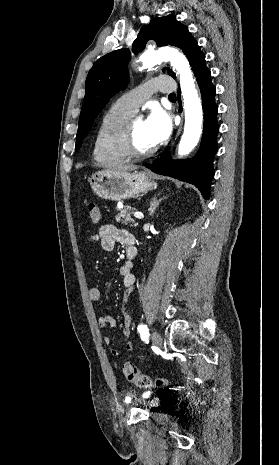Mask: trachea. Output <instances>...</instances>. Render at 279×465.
<instances>
[{
  "instance_id": "obj_1",
  "label": "trachea",
  "mask_w": 279,
  "mask_h": 465,
  "mask_svg": "<svg viewBox=\"0 0 279 465\" xmlns=\"http://www.w3.org/2000/svg\"><path fill=\"white\" fill-rule=\"evenodd\" d=\"M169 98H170V99L176 98V94H175V93H171V94L169 95Z\"/></svg>"
}]
</instances>
